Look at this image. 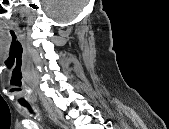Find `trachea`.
<instances>
[{"instance_id":"1","label":"trachea","mask_w":169,"mask_h":129,"mask_svg":"<svg viewBox=\"0 0 169 129\" xmlns=\"http://www.w3.org/2000/svg\"><path fill=\"white\" fill-rule=\"evenodd\" d=\"M27 108L29 109L30 113H33V110L31 107L27 106Z\"/></svg>"}]
</instances>
